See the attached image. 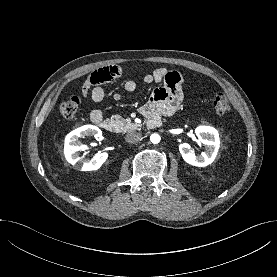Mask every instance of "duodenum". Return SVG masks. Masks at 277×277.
I'll return each mask as SVG.
<instances>
[{"label": "duodenum", "instance_id": "410a0bca", "mask_svg": "<svg viewBox=\"0 0 277 277\" xmlns=\"http://www.w3.org/2000/svg\"><path fill=\"white\" fill-rule=\"evenodd\" d=\"M99 128L106 130V131H113L114 125L113 123L108 119H98L96 122H94ZM161 125V119L158 115H151L148 117L147 126L150 129L159 127Z\"/></svg>", "mask_w": 277, "mask_h": 277}]
</instances>
